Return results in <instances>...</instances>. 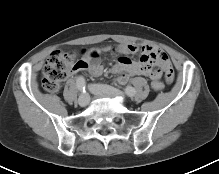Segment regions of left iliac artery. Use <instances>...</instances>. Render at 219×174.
Segmentation results:
<instances>
[{
  "label": "left iliac artery",
  "instance_id": "1",
  "mask_svg": "<svg viewBox=\"0 0 219 174\" xmlns=\"http://www.w3.org/2000/svg\"><path fill=\"white\" fill-rule=\"evenodd\" d=\"M125 93L128 95V96H134L135 93H136V90L132 87V86H127L125 88Z\"/></svg>",
  "mask_w": 219,
  "mask_h": 174
}]
</instances>
